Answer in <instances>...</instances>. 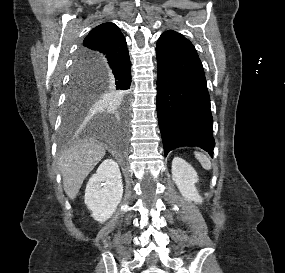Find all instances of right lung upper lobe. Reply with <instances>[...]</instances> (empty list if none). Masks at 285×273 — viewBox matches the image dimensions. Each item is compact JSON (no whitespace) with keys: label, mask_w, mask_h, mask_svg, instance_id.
Here are the masks:
<instances>
[{"label":"right lung upper lobe","mask_w":285,"mask_h":273,"mask_svg":"<svg viewBox=\"0 0 285 273\" xmlns=\"http://www.w3.org/2000/svg\"><path fill=\"white\" fill-rule=\"evenodd\" d=\"M128 54L126 40L120 29L111 22L103 23L90 31L80 47L75 62L79 72H89L99 77L90 68L99 62H108Z\"/></svg>","instance_id":"right-lung-upper-lobe-1"}]
</instances>
